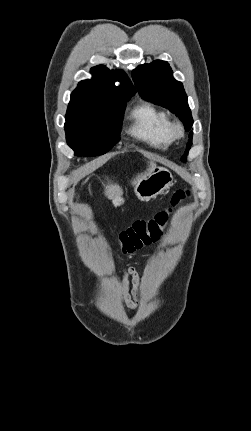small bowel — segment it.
<instances>
[{
    "label": "small bowel",
    "mask_w": 251,
    "mask_h": 431,
    "mask_svg": "<svg viewBox=\"0 0 251 431\" xmlns=\"http://www.w3.org/2000/svg\"><path fill=\"white\" fill-rule=\"evenodd\" d=\"M141 277L135 267L129 266L121 275V291L128 309L135 311L140 303L139 285Z\"/></svg>",
    "instance_id": "1"
}]
</instances>
